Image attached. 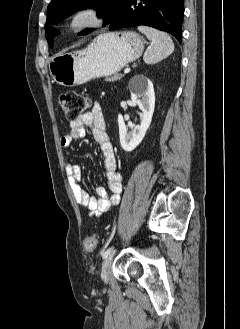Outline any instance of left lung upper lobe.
<instances>
[{"label": "left lung upper lobe", "mask_w": 240, "mask_h": 329, "mask_svg": "<svg viewBox=\"0 0 240 329\" xmlns=\"http://www.w3.org/2000/svg\"><path fill=\"white\" fill-rule=\"evenodd\" d=\"M126 0H52L47 8V24H56L67 18L70 14L92 8L97 10V13L103 17L106 24L116 17L122 9ZM46 38L50 45H54V37L59 34V31L53 27L45 28ZM90 30H85L79 35H86Z\"/></svg>", "instance_id": "5c2ea615"}]
</instances>
